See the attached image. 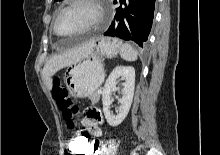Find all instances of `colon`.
Instances as JSON below:
<instances>
[{"mask_svg": "<svg viewBox=\"0 0 220 155\" xmlns=\"http://www.w3.org/2000/svg\"><path fill=\"white\" fill-rule=\"evenodd\" d=\"M52 95L57 103V106L63 113V117L67 122V127L76 130H86V125H76L75 117L78 112V108L73 105L72 101L68 97L67 89L62 85L58 78L54 79ZM90 147H93V142H90L89 135H74V139H70L68 146H64V151L67 155H90ZM96 149L99 148V144H96Z\"/></svg>", "mask_w": 220, "mask_h": 155, "instance_id": "colon-1", "label": "colon"}]
</instances>
